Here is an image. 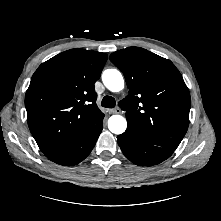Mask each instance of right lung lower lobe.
<instances>
[{
  "instance_id": "right-lung-lower-lobe-1",
  "label": "right lung lower lobe",
  "mask_w": 221,
  "mask_h": 221,
  "mask_svg": "<svg viewBox=\"0 0 221 221\" xmlns=\"http://www.w3.org/2000/svg\"><path fill=\"white\" fill-rule=\"evenodd\" d=\"M104 114L90 121L81 134L72 142L64 146L43 152L51 161L64 165H76L84 160L93 147L102 131Z\"/></svg>"
}]
</instances>
